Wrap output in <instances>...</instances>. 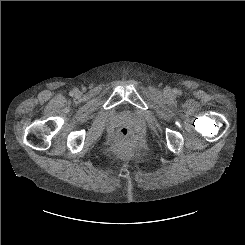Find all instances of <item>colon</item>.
I'll list each match as a JSON object with an SVG mask.
<instances>
[{"instance_id":"5ec220e1","label":"colon","mask_w":245,"mask_h":245,"mask_svg":"<svg viewBox=\"0 0 245 245\" xmlns=\"http://www.w3.org/2000/svg\"><path fill=\"white\" fill-rule=\"evenodd\" d=\"M116 139L120 144L129 145L132 141L131 132L127 128H122L118 131Z\"/></svg>"}]
</instances>
